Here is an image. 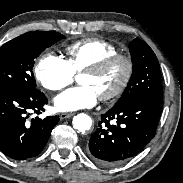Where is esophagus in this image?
<instances>
[{
  "label": "esophagus",
  "instance_id": "1",
  "mask_svg": "<svg viewBox=\"0 0 183 183\" xmlns=\"http://www.w3.org/2000/svg\"><path fill=\"white\" fill-rule=\"evenodd\" d=\"M71 116H73L72 113H61L59 117L61 120H63V119L69 118Z\"/></svg>",
  "mask_w": 183,
  "mask_h": 183
}]
</instances>
